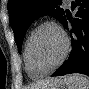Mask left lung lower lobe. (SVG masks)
Returning <instances> with one entry per match:
<instances>
[{
	"mask_svg": "<svg viewBox=\"0 0 89 89\" xmlns=\"http://www.w3.org/2000/svg\"><path fill=\"white\" fill-rule=\"evenodd\" d=\"M71 9L76 18L64 14L62 23L71 30L72 51L67 61L52 75L63 76L70 73H82L89 76V0H73ZM67 16V17H66Z\"/></svg>",
	"mask_w": 89,
	"mask_h": 89,
	"instance_id": "1",
	"label": "left lung lower lobe"
}]
</instances>
